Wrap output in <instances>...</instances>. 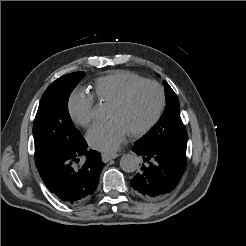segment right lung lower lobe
<instances>
[{
	"label": "right lung lower lobe",
	"mask_w": 246,
	"mask_h": 246,
	"mask_svg": "<svg viewBox=\"0 0 246 246\" xmlns=\"http://www.w3.org/2000/svg\"><path fill=\"white\" fill-rule=\"evenodd\" d=\"M85 162L76 166L79 157ZM36 167L49 191L65 204H79L94 193L104 163L101 155L87 150L83 137L70 149L51 153L37 161Z\"/></svg>",
	"instance_id": "obj_1"
}]
</instances>
